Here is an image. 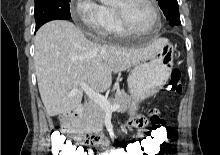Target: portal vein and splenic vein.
Instances as JSON below:
<instances>
[{
	"instance_id": "portal-vein-and-splenic-vein-1",
	"label": "portal vein and splenic vein",
	"mask_w": 220,
	"mask_h": 155,
	"mask_svg": "<svg viewBox=\"0 0 220 155\" xmlns=\"http://www.w3.org/2000/svg\"><path fill=\"white\" fill-rule=\"evenodd\" d=\"M88 97L98 105H100L106 111H114L119 109V105H112L106 97L95 92L87 83L79 82L78 83ZM76 90H73L69 95H74Z\"/></svg>"
}]
</instances>
